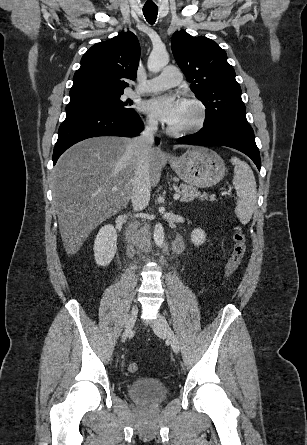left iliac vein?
Here are the masks:
<instances>
[{
  "mask_svg": "<svg viewBox=\"0 0 307 445\" xmlns=\"http://www.w3.org/2000/svg\"><path fill=\"white\" fill-rule=\"evenodd\" d=\"M153 329L158 336L165 337L169 340L171 347L175 353H178L180 351L179 340L163 315H158L157 320H155V322L153 323Z\"/></svg>",
  "mask_w": 307,
  "mask_h": 445,
  "instance_id": "4c4485c4",
  "label": "left iliac vein"
}]
</instances>
